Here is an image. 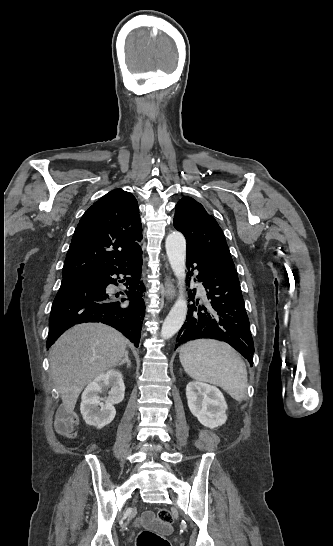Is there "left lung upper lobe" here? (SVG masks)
Wrapping results in <instances>:
<instances>
[{"instance_id":"1","label":"left lung upper lobe","mask_w":333,"mask_h":546,"mask_svg":"<svg viewBox=\"0 0 333 546\" xmlns=\"http://www.w3.org/2000/svg\"><path fill=\"white\" fill-rule=\"evenodd\" d=\"M174 227L183 233L187 247L213 265L235 268L222 229L204 207L183 197L175 207Z\"/></svg>"}]
</instances>
